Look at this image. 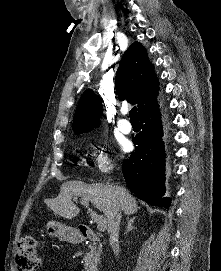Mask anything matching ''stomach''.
Listing matches in <instances>:
<instances>
[{
  "instance_id": "obj_1",
  "label": "stomach",
  "mask_w": 221,
  "mask_h": 271,
  "mask_svg": "<svg viewBox=\"0 0 221 271\" xmlns=\"http://www.w3.org/2000/svg\"><path fill=\"white\" fill-rule=\"evenodd\" d=\"M46 231L52 237H59V239L77 238L79 235V230H71V227H66L59 221H48Z\"/></svg>"
}]
</instances>
